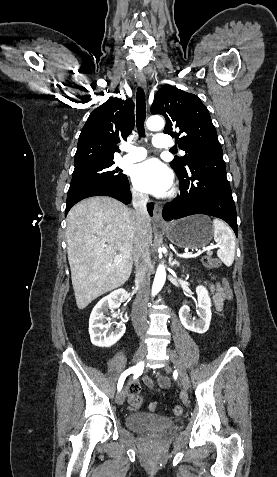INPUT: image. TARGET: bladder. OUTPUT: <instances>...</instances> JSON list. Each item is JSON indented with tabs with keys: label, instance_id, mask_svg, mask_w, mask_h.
I'll list each match as a JSON object with an SVG mask.
<instances>
[{
	"label": "bladder",
	"instance_id": "1",
	"mask_svg": "<svg viewBox=\"0 0 277 477\" xmlns=\"http://www.w3.org/2000/svg\"><path fill=\"white\" fill-rule=\"evenodd\" d=\"M127 426L141 433H157L167 431L175 426V421L146 412H132L126 417Z\"/></svg>",
	"mask_w": 277,
	"mask_h": 477
}]
</instances>
